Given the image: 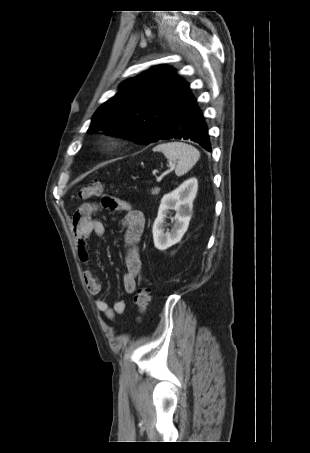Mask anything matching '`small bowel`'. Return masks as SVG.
Listing matches in <instances>:
<instances>
[{
    "label": "small bowel",
    "instance_id": "c3829d8e",
    "mask_svg": "<svg viewBox=\"0 0 310 453\" xmlns=\"http://www.w3.org/2000/svg\"><path fill=\"white\" fill-rule=\"evenodd\" d=\"M112 207L124 213L122 225L125 229L126 273L123 278V285L125 291L128 294H132L136 289L137 278L142 267L138 243L144 231L145 218L140 210L135 209L127 201L113 200ZM96 210V204L84 203L75 211L72 218V231L77 242L80 259L84 264L90 261V255L87 249L89 236L92 233L98 236H102L105 233L103 223L93 219V214ZM83 278L90 294H100L102 289L100 279L91 269H85L83 271ZM95 305L97 310L109 319H114L115 316L123 314L126 309V304L122 300L115 301L111 307L104 299H97Z\"/></svg>",
    "mask_w": 310,
    "mask_h": 453
}]
</instances>
